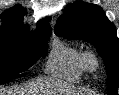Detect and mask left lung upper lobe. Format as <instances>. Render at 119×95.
Instances as JSON below:
<instances>
[{
  "label": "left lung upper lobe",
  "instance_id": "1",
  "mask_svg": "<svg viewBox=\"0 0 119 95\" xmlns=\"http://www.w3.org/2000/svg\"><path fill=\"white\" fill-rule=\"evenodd\" d=\"M55 33L67 39H81L93 44L106 66L108 95H118L119 40L115 26L102 8L83 1L75 2L58 19Z\"/></svg>",
  "mask_w": 119,
  "mask_h": 95
}]
</instances>
